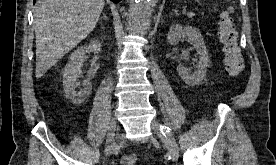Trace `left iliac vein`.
<instances>
[{
    "instance_id": "1",
    "label": "left iliac vein",
    "mask_w": 276,
    "mask_h": 165,
    "mask_svg": "<svg viewBox=\"0 0 276 165\" xmlns=\"http://www.w3.org/2000/svg\"><path fill=\"white\" fill-rule=\"evenodd\" d=\"M151 127L156 133H160L159 132L160 124L157 121L153 120L151 122ZM162 137H163V140H164L166 146L168 147L169 154H170L172 160L176 161L178 159L179 152H178V145H177V142H176L173 134L171 132H169V133L163 135Z\"/></svg>"
}]
</instances>
